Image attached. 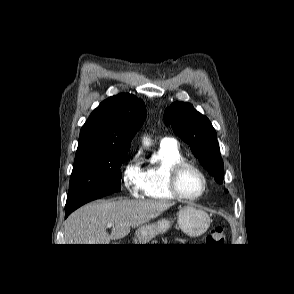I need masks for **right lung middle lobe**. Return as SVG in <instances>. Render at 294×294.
I'll list each match as a JSON object with an SVG mask.
<instances>
[{
    "instance_id": "right-lung-middle-lobe-1",
    "label": "right lung middle lobe",
    "mask_w": 294,
    "mask_h": 294,
    "mask_svg": "<svg viewBox=\"0 0 294 294\" xmlns=\"http://www.w3.org/2000/svg\"><path fill=\"white\" fill-rule=\"evenodd\" d=\"M129 149H77L65 207L121 190L120 167Z\"/></svg>"
}]
</instances>
